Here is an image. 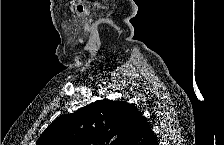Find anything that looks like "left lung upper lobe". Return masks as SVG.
<instances>
[{
  "label": "left lung upper lobe",
  "instance_id": "1",
  "mask_svg": "<svg viewBox=\"0 0 224 145\" xmlns=\"http://www.w3.org/2000/svg\"><path fill=\"white\" fill-rule=\"evenodd\" d=\"M141 117L125 101L99 100L57 118L37 145H129Z\"/></svg>",
  "mask_w": 224,
  "mask_h": 145
}]
</instances>
